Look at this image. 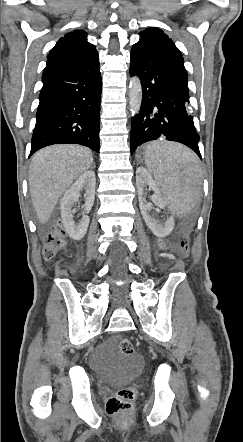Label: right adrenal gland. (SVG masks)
<instances>
[{
	"instance_id": "obj_1",
	"label": "right adrenal gland",
	"mask_w": 243,
	"mask_h": 442,
	"mask_svg": "<svg viewBox=\"0 0 243 442\" xmlns=\"http://www.w3.org/2000/svg\"><path fill=\"white\" fill-rule=\"evenodd\" d=\"M92 168H93V169L95 168V164H93Z\"/></svg>"
}]
</instances>
